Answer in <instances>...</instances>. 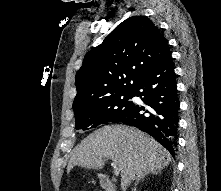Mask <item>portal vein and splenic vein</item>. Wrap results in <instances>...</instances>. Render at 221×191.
<instances>
[{"label": "portal vein and splenic vein", "instance_id": "18ae733b", "mask_svg": "<svg viewBox=\"0 0 221 191\" xmlns=\"http://www.w3.org/2000/svg\"><path fill=\"white\" fill-rule=\"evenodd\" d=\"M112 166L114 168V171H115V175L118 176L119 174V168L117 167V164L115 162L112 163Z\"/></svg>", "mask_w": 221, "mask_h": 191}]
</instances>
